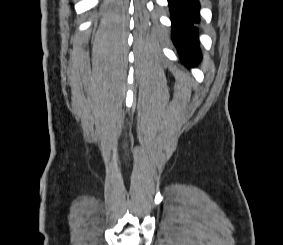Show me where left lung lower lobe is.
<instances>
[{
  "label": "left lung lower lobe",
  "mask_w": 283,
  "mask_h": 245,
  "mask_svg": "<svg viewBox=\"0 0 283 245\" xmlns=\"http://www.w3.org/2000/svg\"><path fill=\"white\" fill-rule=\"evenodd\" d=\"M171 11L173 41L183 60L194 64L200 58L197 28L199 22V0H168Z\"/></svg>",
  "instance_id": "left-lung-lower-lobe-1"
}]
</instances>
